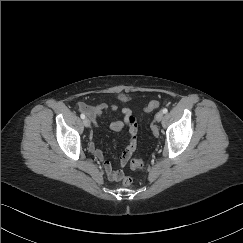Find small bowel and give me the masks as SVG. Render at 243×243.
<instances>
[{
	"label": "small bowel",
	"instance_id": "obj_1",
	"mask_svg": "<svg viewBox=\"0 0 243 243\" xmlns=\"http://www.w3.org/2000/svg\"><path fill=\"white\" fill-rule=\"evenodd\" d=\"M78 109L86 113L91 118L95 129H97L96 119L104 113H114L117 110V107L108 103H101L95 107H90L86 103L80 102L78 104ZM121 114L123 117L122 120L113 121L110 124V129L115 132H122L127 129L129 133V144L124 149L118 161V167L125 166L137 148V121L132 112L127 108H123L121 110ZM88 151L93 157L103 162L104 171L110 181L120 180V169L116 167L113 162L106 160L103 152L96 147L94 133H92L89 137Z\"/></svg>",
	"mask_w": 243,
	"mask_h": 243
}]
</instances>
